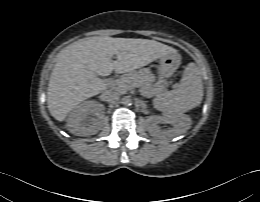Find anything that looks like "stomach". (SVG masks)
Here are the masks:
<instances>
[{"label":"stomach","instance_id":"stomach-1","mask_svg":"<svg viewBox=\"0 0 260 202\" xmlns=\"http://www.w3.org/2000/svg\"><path fill=\"white\" fill-rule=\"evenodd\" d=\"M180 64V58L176 53H169L159 59L158 73L161 78H169Z\"/></svg>","mask_w":260,"mask_h":202}]
</instances>
